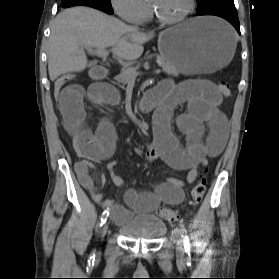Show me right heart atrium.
Here are the masks:
<instances>
[{"mask_svg":"<svg viewBox=\"0 0 279 279\" xmlns=\"http://www.w3.org/2000/svg\"><path fill=\"white\" fill-rule=\"evenodd\" d=\"M116 14L129 23H142L150 12V7L144 0H111Z\"/></svg>","mask_w":279,"mask_h":279,"instance_id":"1","label":"right heart atrium"}]
</instances>
